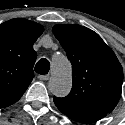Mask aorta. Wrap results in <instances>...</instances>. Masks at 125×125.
Here are the masks:
<instances>
[{"label":"aorta","instance_id":"aorta-1","mask_svg":"<svg viewBox=\"0 0 125 125\" xmlns=\"http://www.w3.org/2000/svg\"><path fill=\"white\" fill-rule=\"evenodd\" d=\"M72 86L71 65L63 55L57 56L52 61V75L49 80V89L52 94L66 96Z\"/></svg>","mask_w":125,"mask_h":125}]
</instances>
